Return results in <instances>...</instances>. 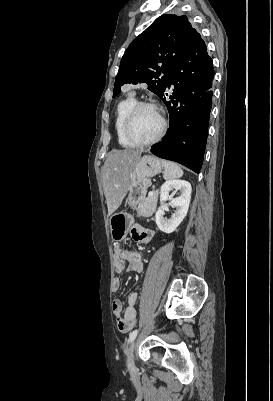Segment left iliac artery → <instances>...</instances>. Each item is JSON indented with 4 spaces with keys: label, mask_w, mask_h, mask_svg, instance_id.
Here are the masks:
<instances>
[{
    "label": "left iliac artery",
    "mask_w": 273,
    "mask_h": 401,
    "mask_svg": "<svg viewBox=\"0 0 273 401\" xmlns=\"http://www.w3.org/2000/svg\"><path fill=\"white\" fill-rule=\"evenodd\" d=\"M137 334H138V330H134L133 332H131L129 335L128 342L132 343L134 341V339L136 338Z\"/></svg>",
    "instance_id": "44dca946"
}]
</instances>
